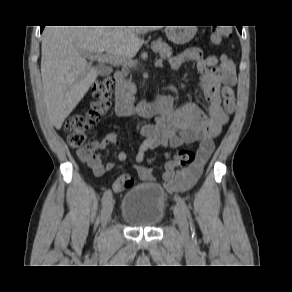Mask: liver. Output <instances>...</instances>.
Listing matches in <instances>:
<instances>
[{
	"label": "liver",
	"mask_w": 292,
	"mask_h": 292,
	"mask_svg": "<svg viewBox=\"0 0 292 292\" xmlns=\"http://www.w3.org/2000/svg\"><path fill=\"white\" fill-rule=\"evenodd\" d=\"M156 26H47L43 31L41 77L44 101L57 130L96 81L99 71L87 54L133 57L143 45L140 34Z\"/></svg>",
	"instance_id": "6515ba94"
}]
</instances>
